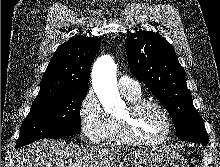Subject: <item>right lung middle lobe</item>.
Instances as JSON below:
<instances>
[{
    "instance_id": "obj_1",
    "label": "right lung middle lobe",
    "mask_w": 220,
    "mask_h": 167,
    "mask_svg": "<svg viewBox=\"0 0 220 167\" xmlns=\"http://www.w3.org/2000/svg\"><path fill=\"white\" fill-rule=\"evenodd\" d=\"M87 90L66 89L34 100L22 123L16 148L42 138L57 139L80 133V109Z\"/></svg>"
}]
</instances>
